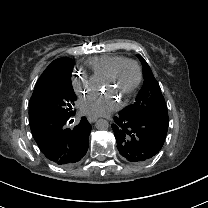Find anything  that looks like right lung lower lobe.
Segmentation results:
<instances>
[{
    "instance_id": "right-lung-lower-lobe-1",
    "label": "right lung lower lobe",
    "mask_w": 208,
    "mask_h": 208,
    "mask_svg": "<svg viewBox=\"0 0 208 208\" xmlns=\"http://www.w3.org/2000/svg\"><path fill=\"white\" fill-rule=\"evenodd\" d=\"M73 115L55 116L40 122L30 121V128L39 149L55 164L76 163L88 150V137L92 126L83 117L74 128L67 127L68 122H72L70 117Z\"/></svg>"
}]
</instances>
